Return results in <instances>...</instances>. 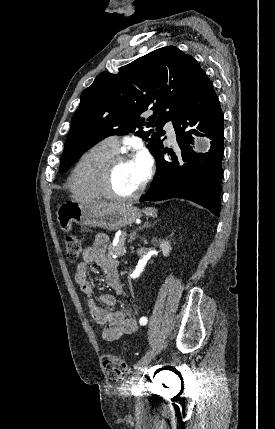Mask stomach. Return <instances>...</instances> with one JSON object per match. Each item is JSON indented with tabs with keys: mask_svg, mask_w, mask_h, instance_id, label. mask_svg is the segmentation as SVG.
Here are the masks:
<instances>
[{
	"mask_svg": "<svg viewBox=\"0 0 275 429\" xmlns=\"http://www.w3.org/2000/svg\"><path fill=\"white\" fill-rule=\"evenodd\" d=\"M56 214L59 227L65 233L72 229V223L114 231L131 225L141 216L140 211L131 205L115 204L102 209H91L76 201L64 202L58 207Z\"/></svg>",
	"mask_w": 275,
	"mask_h": 429,
	"instance_id": "obj_1",
	"label": "stomach"
}]
</instances>
